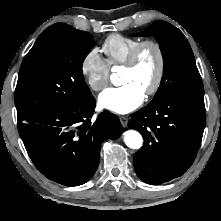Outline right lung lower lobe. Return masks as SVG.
<instances>
[{
	"label": "right lung lower lobe",
	"mask_w": 221,
	"mask_h": 221,
	"mask_svg": "<svg viewBox=\"0 0 221 221\" xmlns=\"http://www.w3.org/2000/svg\"><path fill=\"white\" fill-rule=\"evenodd\" d=\"M95 103L91 95L72 108L18 121L28 155L48 179L66 186L86 183L99 164L101 143L122 134L119 118L108 111L92 121Z\"/></svg>",
	"instance_id": "right-lung-lower-lobe-1"
}]
</instances>
